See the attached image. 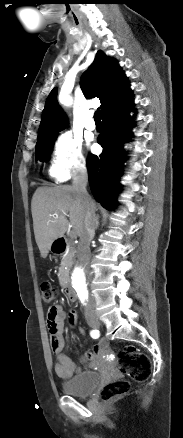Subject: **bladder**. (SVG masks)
Here are the masks:
<instances>
[{"mask_svg": "<svg viewBox=\"0 0 183 438\" xmlns=\"http://www.w3.org/2000/svg\"><path fill=\"white\" fill-rule=\"evenodd\" d=\"M101 375L98 372H82L62 383L63 391L72 396L90 395L99 384Z\"/></svg>", "mask_w": 183, "mask_h": 438, "instance_id": "obj_1", "label": "bladder"}]
</instances>
